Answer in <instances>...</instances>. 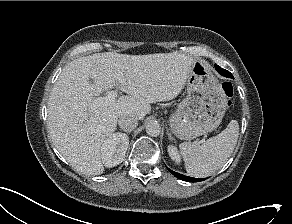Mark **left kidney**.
Masks as SVG:
<instances>
[{
    "mask_svg": "<svg viewBox=\"0 0 292 224\" xmlns=\"http://www.w3.org/2000/svg\"><path fill=\"white\" fill-rule=\"evenodd\" d=\"M167 151H168V154L170 156V158L176 163V164H180V155L177 151V148L174 146V145H169L167 147Z\"/></svg>",
    "mask_w": 292,
    "mask_h": 224,
    "instance_id": "1",
    "label": "left kidney"
}]
</instances>
